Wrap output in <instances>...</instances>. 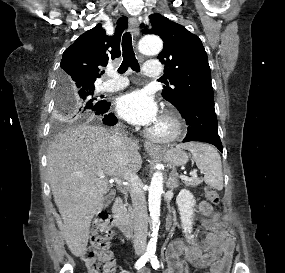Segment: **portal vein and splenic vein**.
<instances>
[{"label": "portal vein and splenic vein", "mask_w": 285, "mask_h": 273, "mask_svg": "<svg viewBox=\"0 0 285 273\" xmlns=\"http://www.w3.org/2000/svg\"><path fill=\"white\" fill-rule=\"evenodd\" d=\"M97 176H99V177H104V173H103L102 171H99V172L97 173ZM179 177H180L181 179H183V180L196 179V178H197V173H196V171H193V172L191 173V178L188 177V176H186V175H180ZM113 180H114L119 186H122L123 184H126V183L122 182L121 179L116 178V177L113 178Z\"/></svg>", "instance_id": "1"}]
</instances>
